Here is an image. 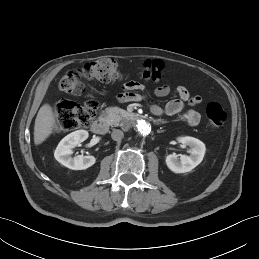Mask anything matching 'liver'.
Masks as SVG:
<instances>
[{"label":"liver","mask_w":259,"mask_h":259,"mask_svg":"<svg viewBox=\"0 0 259 259\" xmlns=\"http://www.w3.org/2000/svg\"><path fill=\"white\" fill-rule=\"evenodd\" d=\"M55 117L52 107L44 104L38 111L34 125V143H43L52 133L55 127Z\"/></svg>","instance_id":"6515ba94"}]
</instances>
